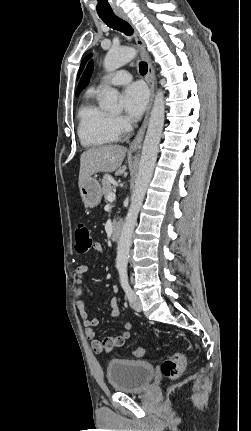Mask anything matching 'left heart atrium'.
I'll return each mask as SVG.
<instances>
[{
	"instance_id": "39dd6f15",
	"label": "left heart atrium",
	"mask_w": 251,
	"mask_h": 431,
	"mask_svg": "<svg viewBox=\"0 0 251 431\" xmlns=\"http://www.w3.org/2000/svg\"><path fill=\"white\" fill-rule=\"evenodd\" d=\"M122 98L126 114L132 119H137L147 106L149 93L144 84L136 82L125 88Z\"/></svg>"
}]
</instances>
